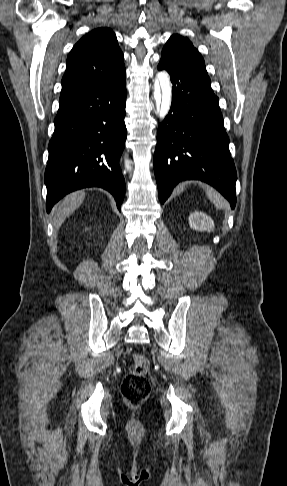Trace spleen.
<instances>
[{
    "label": "spleen",
    "instance_id": "obj_1",
    "mask_svg": "<svg viewBox=\"0 0 287 486\" xmlns=\"http://www.w3.org/2000/svg\"><path fill=\"white\" fill-rule=\"evenodd\" d=\"M206 195L209 200L215 205L217 209H227L228 203L227 201L217 193L213 188L205 185Z\"/></svg>",
    "mask_w": 287,
    "mask_h": 486
}]
</instances>
